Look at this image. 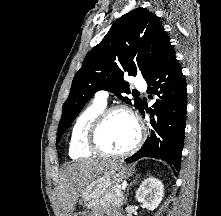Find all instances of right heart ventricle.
<instances>
[{
  "instance_id": "e07e8e85",
  "label": "right heart ventricle",
  "mask_w": 221,
  "mask_h": 216,
  "mask_svg": "<svg viewBox=\"0 0 221 216\" xmlns=\"http://www.w3.org/2000/svg\"><path fill=\"white\" fill-rule=\"evenodd\" d=\"M105 103L97 100L85 107L76 118L69 137L68 153L72 158L90 157L94 154L86 145V133L92 121L104 110Z\"/></svg>"
}]
</instances>
